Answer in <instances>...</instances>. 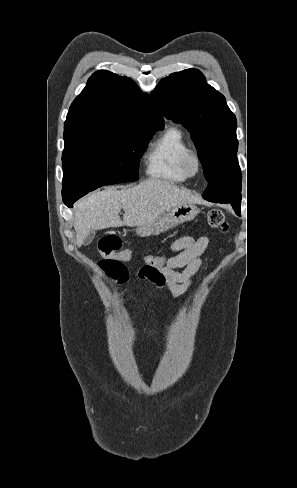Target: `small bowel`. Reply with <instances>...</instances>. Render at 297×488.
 Segmentation results:
<instances>
[{
    "label": "small bowel",
    "mask_w": 297,
    "mask_h": 488,
    "mask_svg": "<svg viewBox=\"0 0 297 488\" xmlns=\"http://www.w3.org/2000/svg\"><path fill=\"white\" fill-rule=\"evenodd\" d=\"M209 244L210 239L205 235L182 236L174 240L169 245L173 255L167 258L165 266L145 279L159 290H168L172 300L176 301L193 286L195 274L204 268L202 256Z\"/></svg>",
    "instance_id": "small-bowel-1"
}]
</instances>
